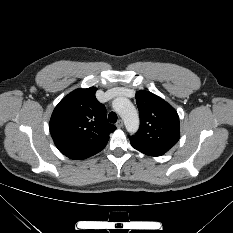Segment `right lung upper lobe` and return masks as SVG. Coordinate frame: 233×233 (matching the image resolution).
Here are the masks:
<instances>
[{
  "label": "right lung upper lobe",
  "instance_id": "cb5924a9",
  "mask_svg": "<svg viewBox=\"0 0 233 233\" xmlns=\"http://www.w3.org/2000/svg\"><path fill=\"white\" fill-rule=\"evenodd\" d=\"M97 88L77 89L56 106L50 133L56 147L70 159H86L100 152L116 127L109 124L106 109L95 97Z\"/></svg>",
  "mask_w": 233,
  "mask_h": 233
}]
</instances>
